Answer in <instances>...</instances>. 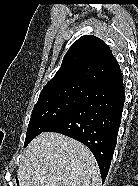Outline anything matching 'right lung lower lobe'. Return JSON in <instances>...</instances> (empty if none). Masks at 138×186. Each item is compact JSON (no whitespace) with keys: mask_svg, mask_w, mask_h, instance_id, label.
<instances>
[{"mask_svg":"<svg viewBox=\"0 0 138 186\" xmlns=\"http://www.w3.org/2000/svg\"><path fill=\"white\" fill-rule=\"evenodd\" d=\"M124 101L123 85L92 90L85 102L46 132H58L85 144L95 156L104 182L117 143Z\"/></svg>","mask_w":138,"mask_h":186,"instance_id":"right-lung-lower-lobe-1","label":"right lung lower lobe"}]
</instances>
